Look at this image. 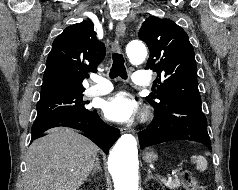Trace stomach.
I'll list each match as a JSON object with an SVG mask.
<instances>
[{"instance_id": "1", "label": "stomach", "mask_w": 238, "mask_h": 190, "mask_svg": "<svg viewBox=\"0 0 238 190\" xmlns=\"http://www.w3.org/2000/svg\"><path fill=\"white\" fill-rule=\"evenodd\" d=\"M143 159L148 162V163H151V162H154L158 159V155L153 152V151H149V152H146L143 156Z\"/></svg>"}]
</instances>
